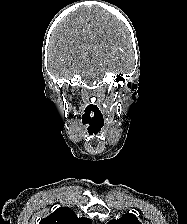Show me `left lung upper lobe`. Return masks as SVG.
<instances>
[{
  "label": "left lung upper lobe",
  "mask_w": 187,
  "mask_h": 224,
  "mask_svg": "<svg viewBox=\"0 0 187 224\" xmlns=\"http://www.w3.org/2000/svg\"><path fill=\"white\" fill-rule=\"evenodd\" d=\"M107 224H142L132 213H126L117 220H110Z\"/></svg>",
  "instance_id": "obj_1"
}]
</instances>
